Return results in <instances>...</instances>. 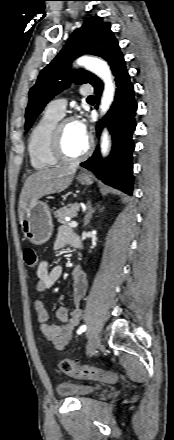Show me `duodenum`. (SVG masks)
<instances>
[{"instance_id": "1", "label": "duodenum", "mask_w": 174, "mask_h": 440, "mask_svg": "<svg viewBox=\"0 0 174 440\" xmlns=\"http://www.w3.org/2000/svg\"><path fill=\"white\" fill-rule=\"evenodd\" d=\"M75 245L77 247H82V238L80 236L77 237Z\"/></svg>"}]
</instances>
